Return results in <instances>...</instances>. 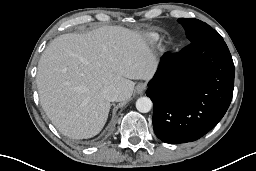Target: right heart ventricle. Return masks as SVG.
Here are the masks:
<instances>
[{"label":"right heart ventricle","mask_w":256,"mask_h":171,"mask_svg":"<svg viewBox=\"0 0 256 171\" xmlns=\"http://www.w3.org/2000/svg\"><path fill=\"white\" fill-rule=\"evenodd\" d=\"M157 39H158V35H156V34L151 35L152 41H156Z\"/></svg>","instance_id":"e07e8e85"}]
</instances>
